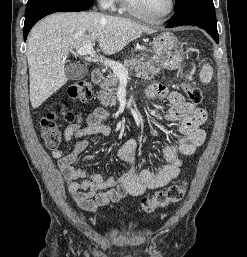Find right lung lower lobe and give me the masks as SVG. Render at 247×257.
Listing matches in <instances>:
<instances>
[{
    "label": "right lung lower lobe",
    "instance_id": "obj_1",
    "mask_svg": "<svg viewBox=\"0 0 247 257\" xmlns=\"http://www.w3.org/2000/svg\"><path fill=\"white\" fill-rule=\"evenodd\" d=\"M93 5V0H28L23 28L24 41L33 25L54 12L83 11Z\"/></svg>",
    "mask_w": 247,
    "mask_h": 257
}]
</instances>
